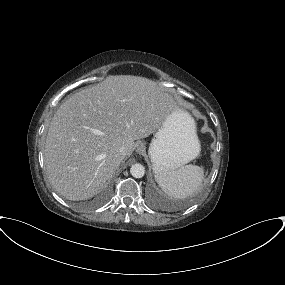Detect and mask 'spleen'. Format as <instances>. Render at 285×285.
<instances>
[{"label": "spleen", "mask_w": 285, "mask_h": 285, "mask_svg": "<svg viewBox=\"0 0 285 285\" xmlns=\"http://www.w3.org/2000/svg\"><path fill=\"white\" fill-rule=\"evenodd\" d=\"M156 182L170 197L184 199L196 193L204 178V168L186 165L175 171L155 172Z\"/></svg>", "instance_id": "spleen-1"}]
</instances>
